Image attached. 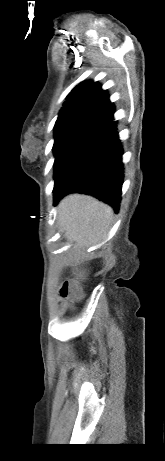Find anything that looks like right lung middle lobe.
<instances>
[{
	"label": "right lung middle lobe",
	"instance_id": "dd1d6c3e",
	"mask_svg": "<svg viewBox=\"0 0 165 461\" xmlns=\"http://www.w3.org/2000/svg\"><path fill=\"white\" fill-rule=\"evenodd\" d=\"M107 124L106 120L91 115L57 119L53 145L55 180L85 144Z\"/></svg>",
	"mask_w": 165,
	"mask_h": 461
}]
</instances>
